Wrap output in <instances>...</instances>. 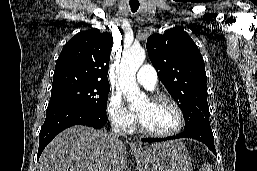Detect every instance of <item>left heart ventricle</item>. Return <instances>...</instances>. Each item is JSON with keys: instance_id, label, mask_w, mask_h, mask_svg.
<instances>
[{"instance_id": "b2bd125f", "label": "left heart ventricle", "mask_w": 257, "mask_h": 171, "mask_svg": "<svg viewBox=\"0 0 257 171\" xmlns=\"http://www.w3.org/2000/svg\"><path fill=\"white\" fill-rule=\"evenodd\" d=\"M137 113L144 126L153 131L166 132L172 130L178 123L176 111L165 102L146 101L138 107Z\"/></svg>"}]
</instances>
